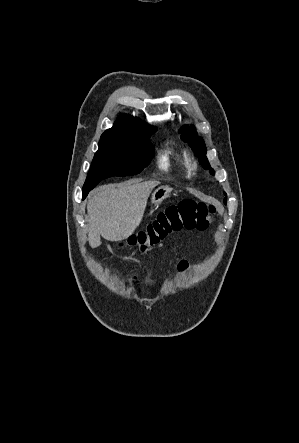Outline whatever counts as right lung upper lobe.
Returning a JSON list of instances; mask_svg holds the SVG:
<instances>
[{"label":"right lung upper lobe","mask_w":299,"mask_h":443,"mask_svg":"<svg viewBox=\"0 0 299 443\" xmlns=\"http://www.w3.org/2000/svg\"><path fill=\"white\" fill-rule=\"evenodd\" d=\"M147 127L150 126L145 125L140 119L134 118L130 115H124L119 117L113 127L106 130L101 138L122 134H136L140 133Z\"/></svg>","instance_id":"obj_1"}]
</instances>
